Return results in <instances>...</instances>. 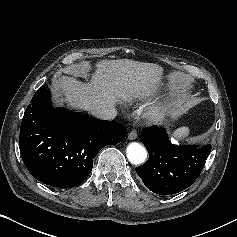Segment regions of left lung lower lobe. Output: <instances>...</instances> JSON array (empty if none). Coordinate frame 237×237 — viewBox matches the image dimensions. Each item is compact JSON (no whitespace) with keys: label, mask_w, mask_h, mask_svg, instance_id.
Returning <instances> with one entry per match:
<instances>
[{"label":"left lung lower lobe","mask_w":237,"mask_h":237,"mask_svg":"<svg viewBox=\"0 0 237 237\" xmlns=\"http://www.w3.org/2000/svg\"><path fill=\"white\" fill-rule=\"evenodd\" d=\"M140 141L149 152L146 163L136 168L145 186L159 195H171L188 188L200 175L211 144L177 146L164 128H145Z\"/></svg>","instance_id":"1"}]
</instances>
